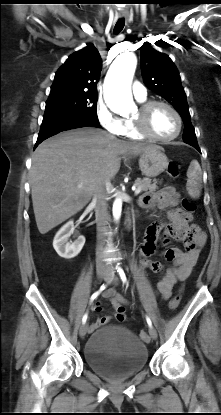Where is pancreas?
<instances>
[{
  "label": "pancreas",
  "mask_w": 221,
  "mask_h": 415,
  "mask_svg": "<svg viewBox=\"0 0 221 415\" xmlns=\"http://www.w3.org/2000/svg\"><path fill=\"white\" fill-rule=\"evenodd\" d=\"M157 183L158 182L156 180H154L152 183V180L149 178H143V179L138 178L137 180H135V186L137 188H140L141 192L147 191V190L155 191L158 188Z\"/></svg>",
  "instance_id": "cf45deb5"
}]
</instances>
